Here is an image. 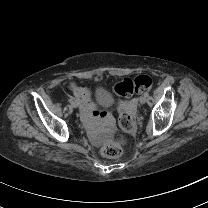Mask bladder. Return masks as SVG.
Returning a JSON list of instances; mask_svg holds the SVG:
<instances>
[{
    "instance_id": "obj_1",
    "label": "bladder",
    "mask_w": 208,
    "mask_h": 208,
    "mask_svg": "<svg viewBox=\"0 0 208 208\" xmlns=\"http://www.w3.org/2000/svg\"><path fill=\"white\" fill-rule=\"evenodd\" d=\"M96 101L99 103H103V102H109V104L107 106H113V96L112 95H108L105 93H98L96 96Z\"/></svg>"
}]
</instances>
